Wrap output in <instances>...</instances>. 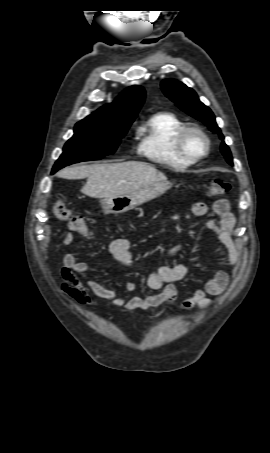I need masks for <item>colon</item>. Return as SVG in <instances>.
Listing matches in <instances>:
<instances>
[{
	"label": "colon",
	"mask_w": 270,
	"mask_h": 453,
	"mask_svg": "<svg viewBox=\"0 0 270 453\" xmlns=\"http://www.w3.org/2000/svg\"><path fill=\"white\" fill-rule=\"evenodd\" d=\"M230 189L229 183L221 180L213 181L207 188V194L212 197L222 196L226 194ZM53 212L55 216L65 222L69 229L77 232L83 236H87L90 233L89 226L84 217L74 214L66 205L63 200H57L53 205Z\"/></svg>",
	"instance_id": "5ec220e1"
}]
</instances>
